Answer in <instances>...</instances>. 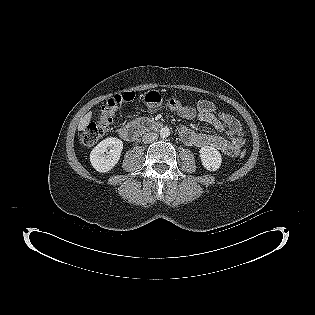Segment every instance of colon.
I'll return each instance as SVG.
<instances>
[{"label": "colon", "mask_w": 315, "mask_h": 315, "mask_svg": "<svg viewBox=\"0 0 315 315\" xmlns=\"http://www.w3.org/2000/svg\"><path fill=\"white\" fill-rule=\"evenodd\" d=\"M135 93L131 91H125L114 94L111 96L100 111V115L97 121L91 122L81 134V143L84 146H93L102 138L110 128L115 112L124 103L134 100ZM167 105L170 109H178L183 106V102L177 98H171L167 101ZM239 158H245L247 151L245 149H239L237 151Z\"/></svg>", "instance_id": "1"}]
</instances>
